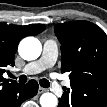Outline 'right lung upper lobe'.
<instances>
[{"label": "right lung upper lobe", "instance_id": "right-lung-upper-lobe-1", "mask_svg": "<svg viewBox=\"0 0 107 107\" xmlns=\"http://www.w3.org/2000/svg\"><path fill=\"white\" fill-rule=\"evenodd\" d=\"M45 26L42 24H31L26 26L6 25L0 23V82L5 86L10 84L9 79L2 77L5 72L4 67L14 65V55L17 51L19 41L25 36H32L44 31ZM11 83H17L11 80Z\"/></svg>", "mask_w": 107, "mask_h": 107}]
</instances>
